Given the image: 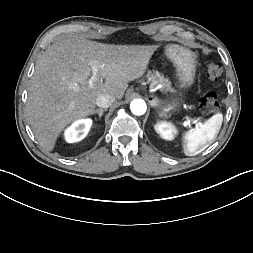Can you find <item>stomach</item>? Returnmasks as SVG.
<instances>
[{
  "mask_svg": "<svg viewBox=\"0 0 253 253\" xmlns=\"http://www.w3.org/2000/svg\"><path fill=\"white\" fill-rule=\"evenodd\" d=\"M166 57L173 62L176 68V76L181 86L186 87L193 84L196 73V55L191 50L177 44L168 45L165 49ZM153 106H159L162 109V115L165 114L164 109H174L176 102H172L163 106L156 98L152 99Z\"/></svg>",
  "mask_w": 253,
  "mask_h": 253,
  "instance_id": "0dacf381",
  "label": "stomach"
}]
</instances>
